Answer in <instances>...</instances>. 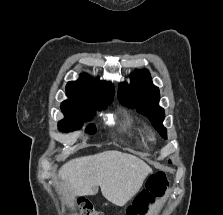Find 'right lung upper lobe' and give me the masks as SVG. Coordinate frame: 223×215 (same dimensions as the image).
Returning <instances> with one entry per match:
<instances>
[{
	"label": "right lung upper lobe",
	"mask_w": 223,
	"mask_h": 215,
	"mask_svg": "<svg viewBox=\"0 0 223 215\" xmlns=\"http://www.w3.org/2000/svg\"><path fill=\"white\" fill-rule=\"evenodd\" d=\"M68 99L61 104V108H96L104 109L111 104L114 87L111 83L92 79L81 74L77 81H70L66 86Z\"/></svg>",
	"instance_id": "cb5924a9"
}]
</instances>
